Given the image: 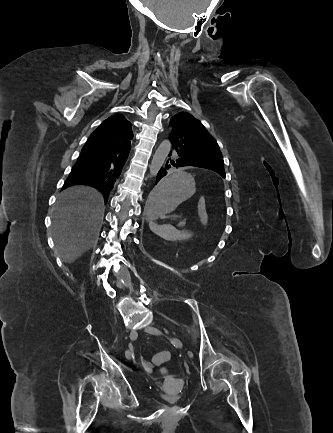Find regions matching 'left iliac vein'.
<instances>
[{
    "mask_svg": "<svg viewBox=\"0 0 333 433\" xmlns=\"http://www.w3.org/2000/svg\"><path fill=\"white\" fill-rule=\"evenodd\" d=\"M145 331L147 333L153 334V335H160L161 334V331L159 329L153 327V326H147L145 328ZM172 341L178 349H181L183 347L182 342L177 337H172Z\"/></svg>",
    "mask_w": 333,
    "mask_h": 433,
    "instance_id": "1",
    "label": "left iliac vein"
}]
</instances>
